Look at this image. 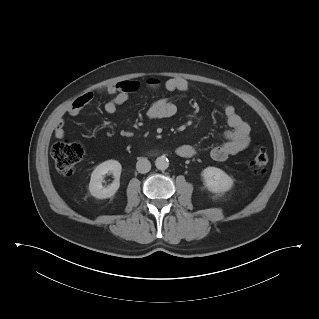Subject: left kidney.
Instances as JSON below:
<instances>
[{
  "label": "left kidney",
  "mask_w": 319,
  "mask_h": 319,
  "mask_svg": "<svg viewBox=\"0 0 319 319\" xmlns=\"http://www.w3.org/2000/svg\"><path fill=\"white\" fill-rule=\"evenodd\" d=\"M205 186L214 193H224L232 188L233 180L224 171L216 167H207L202 171Z\"/></svg>",
  "instance_id": "5707ae66"
}]
</instances>
